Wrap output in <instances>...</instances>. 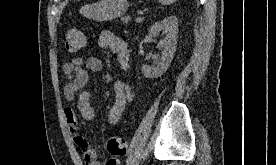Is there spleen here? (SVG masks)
I'll return each instance as SVG.
<instances>
[{
    "mask_svg": "<svg viewBox=\"0 0 276 165\" xmlns=\"http://www.w3.org/2000/svg\"><path fill=\"white\" fill-rule=\"evenodd\" d=\"M162 5H170L177 0H158Z\"/></svg>",
    "mask_w": 276,
    "mask_h": 165,
    "instance_id": "obj_1",
    "label": "spleen"
}]
</instances>
